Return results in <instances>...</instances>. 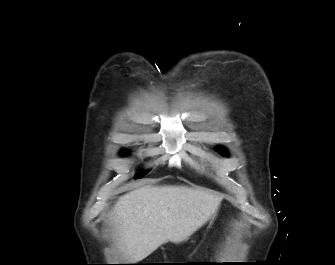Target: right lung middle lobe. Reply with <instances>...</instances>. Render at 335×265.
I'll return each instance as SVG.
<instances>
[{"instance_id":"dd1d6c3e","label":"right lung middle lobe","mask_w":335,"mask_h":265,"mask_svg":"<svg viewBox=\"0 0 335 265\" xmlns=\"http://www.w3.org/2000/svg\"><path fill=\"white\" fill-rule=\"evenodd\" d=\"M147 174V172H141V173H139V174H137L136 176H135V179H137V178H142L143 176H145Z\"/></svg>"}]
</instances>
